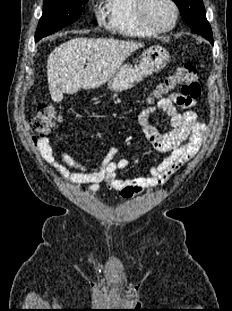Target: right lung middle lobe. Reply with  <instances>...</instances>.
<instances>
[{"label": "right lung middle lobe", "instance_id": "obj_1", "mask_svg": "<svg viewBox=\"0 0 232 311\" xmlns=\"http://www.w3.org/2000/svg\"><path fill=\"white\" fill-rule=\"evenodd\" d=\"M88 0H44V9L40 18L35 41L58 31L76 21L82 12V6Z\"/></svg>", "mask_w": 232, "mask_h": 311}]
</instances>
